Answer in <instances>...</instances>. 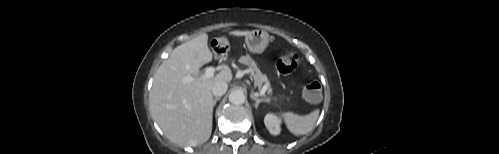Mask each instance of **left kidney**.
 I'll return each mask as SVG.
<instances>
[{"label": "left kidney", "instance_id": "obj_1", "mask_svg": "<svg viewBox=\"0 0 499 154\" xmlns=\"http://www.w3.org/2000/svg\"><path fill=\"white\" fill-rule=\"evenodd\" d=\"M264 123L272 135L280 133V119L274 114H267L264 118Z\"/></svg>", "mask_w": 499, "mask_h": 154}]
</instances>
